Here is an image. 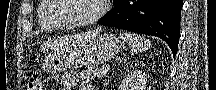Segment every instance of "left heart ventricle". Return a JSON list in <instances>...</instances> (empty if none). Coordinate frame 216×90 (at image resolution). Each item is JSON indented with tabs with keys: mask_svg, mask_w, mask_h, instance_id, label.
Instances as JSON below:
<instances>
[{
	"mask_svg": "<svg viewBox=\"0 0 216 90\" xmlns=\"http://www.w3.org/2000/svg\"><path fill=\"white\" fill-rule=\"evenodd\" d=\"M68 1L67 9L61 13L60 19L70 23L82 21L95 15L100 7L99 0H61Z\"/></svg>",
	"mask_w": 216,
	"mask_h": 90,
	"instance_id": "left-heart-ventricle-1",
	"label": "left heart ventricle"
}]
</instances>
